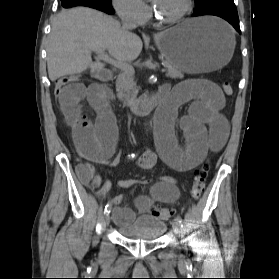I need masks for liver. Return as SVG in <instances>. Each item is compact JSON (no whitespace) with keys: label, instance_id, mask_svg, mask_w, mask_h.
Here are the masks:
<instances>
[{"label":"liver","instance_id":"obj_1","mask_svg":"<svg viewBox=\"0 0 279 279\" xmlns=\"http://www.w3.org/2000/svg\"><path fill=\"white\" fill-rule=\"evenodd\" d=\"M143 48L141 39L124 32L112 17L86 7L62 10L52 22L47 48L49 79L81 74L87 69L103 70L105 65L93 62V49L106 50L117 60L131 62Z\"/></svg>","mask_w":279,"mask_h":279}]
</instances>
